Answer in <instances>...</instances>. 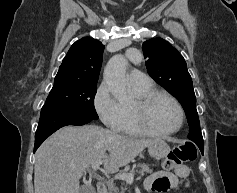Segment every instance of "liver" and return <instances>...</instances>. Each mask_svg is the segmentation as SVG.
I'll return each instance as SVG.
<instances>
[{"mask_svg":"<svg viewBox=\"0 0 237 193\" xmlns=\"http://www.w3.org/2000/svg\"><path fill=\"white\" fill-rule=\"evenodd\" d=\"M158 139H138L95 125L66 126L37 150L34 193H80L79 180L92 163L116 172Z\"/></svg>","mask_w":237,"mask_h":193,"instance_id":"1","label":"liver"}]
</instances>
